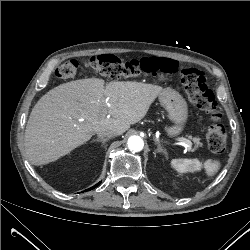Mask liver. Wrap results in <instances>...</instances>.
<instances>
[{
  "instance_id": "obj_1",
  "label": "liver",
  "mask_w": 250,
  "mask_h": 250,
  "mask_svg": "<svg viewBox=\"0 0 250 250\" xmlns=\"http://www.w3.org/2000/svg\"><path fill=\"white\" fill-rule=\"evenodd\" d=\"M98 78L61 84L35 104L25 130V151L34 165L70 153L99 130L126 132L145 117L162 87ZM108 114V116H106Z\"/></svg>"
}]
</instances>
